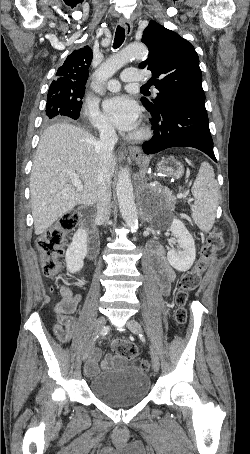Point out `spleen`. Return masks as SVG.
<instances>
[{
  "mask_svg": "<svg viewBox=\"0 0 250 454\" xmlns=\"http://www.w3.org/2000/svg\"><path fill=\"white\" fill-rule=\"evenodd\" d=\"M191 192L195 198L192 218L203 232H209L216 217L218 184L213 167L208 162L201 164Z\"/></svg>",
  "mask_w": 250,
  "mask_h": 454,
  "instance_id": "3e777b00",
  "label": "spleen"
}]
</instances>
